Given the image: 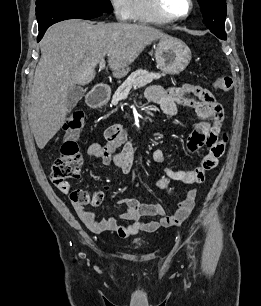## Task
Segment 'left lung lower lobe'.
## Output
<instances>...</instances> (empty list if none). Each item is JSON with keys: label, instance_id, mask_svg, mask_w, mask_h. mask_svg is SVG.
<instances>
[{"label": "left lung lower lobe", "instance_id": "0a47b994", "mask_svg": "<svg viewBox=\"0 0 261 306\" xmlns=\"http://www.w3.org/2000/svg\"><path fill=\"white\" fill-rule=\"evenodd\" d=\"M217 37H219L222 40L226 39V34H215Z\"/></svg>", "mask_w": 261, "mask_h": 306}]
</instances>
